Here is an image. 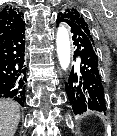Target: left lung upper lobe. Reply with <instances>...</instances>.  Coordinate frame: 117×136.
I'll return each mask as SVG.
<instances>
[{"instance_id":"5c2ea615","label":"left lung upper lobe","mask_w":117,"mask_h":136,"mask_svg":"<svg viewBox=\"0 0 117 136\" xmlns=\"http://www.w3.org/2000/svg\"><path fill=\"white\" fill-rule=\"evenodd\" d=\"M60 13L65 15V17L67 18V23L70 27L77 28L80 31L86 33L93 42V44L96 46L95 37L93 35L92 29L86 18H84L78 10L74 8H67L64 12Z\"/></svg>"}]
</instances>
